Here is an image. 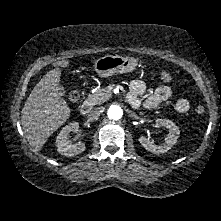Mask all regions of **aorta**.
<instances>
[{"label":"aorta","mask_w":221,"mask_h":221,"mask_svg":"<svg viewBox=\"0 0 221 221\" xmlns=\"http://www.w3.org/2000/svg\"><path fill=\"white\" fill-rule=\"evenodd\" d=\"M107 115L112 120H119L123 116V110L119 105H111L107 110Z\"/></svg>","instance_id":"762f6f07"}]
</instances>
